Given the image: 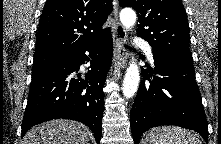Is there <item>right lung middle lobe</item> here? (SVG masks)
<instances>
[{
	"mask_svg": "<svg viewBox=\"0 0 221 144\" xmlns=\"http://www.w3.org/2000/svg\"><path fill=\"white\" fill-rule=\"evenodd\" d=\"M64 55L53 54V53H45V54H37L34 55V62L32 67V72L38 69H41L59 59H61Z\"/></svg>",
	"mask_w": 221,
	"mask_h": 144,
	"instance_id": "dd1d6c3e",
	"label": "right lung middle lobe"
}]
</instances>
